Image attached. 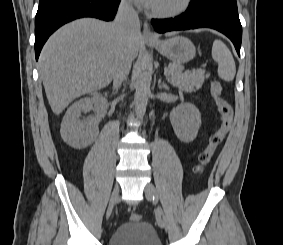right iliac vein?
<instances>
[{"label":"right iliac vein","mask_w":283,"mask_h":245,"mask_svg":"<svg viewBox=\"0 0 283 245\" xmlns=\"http://www.w3.org/2000/svg\"><path fill=\"white\" fill-rule=\"evenodd\" d=\"M118 197H119V186L118 185H115L113 190H112V193H111V196H110V201H109V205H108V208H107V212H106V217H110L112 211H113V208L118 200Z\"/></svg>","instance_id":"right-iliac-vein-1"}]
</instances>
